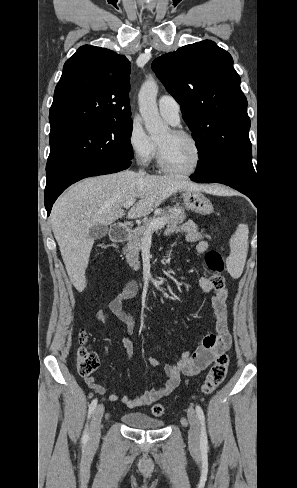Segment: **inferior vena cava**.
<instances>
[{"label": "inferior vena cava", "mask_w": 297, "mask_h": 488, "mask_svg": "<svg viewBox=\"0 0 297 488\" xmlns=\"http://www.w3.org/2000/svg\"><path fill=\"white\" fill-rule=\"evenodd\" d=\"M139 173H140L141 175H144V174H145V172H144V171H142V170H140V171H139Z\"/></svg>", "instance_id": "1"}]
</instances>
